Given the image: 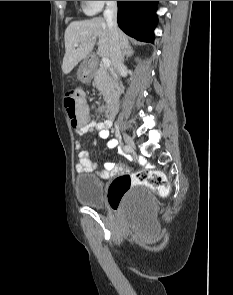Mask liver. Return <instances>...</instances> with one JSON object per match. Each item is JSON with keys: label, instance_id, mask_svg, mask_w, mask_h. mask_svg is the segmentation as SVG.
Segmentation results:
<instances>
[{"label": "liver", "instance_id": "6515ba94", "mask_svg": "<svg viewBox=\"0 0 233 295\" xmlns=\"http://www.w3.org/2000/svg\"><path fill=\"white\" fill-rule=\"evenodd\" d=\"M98 38V55L111 58L110 31L105 19L96 17L91 20L71 22L65 30V55L62 71L69 74L73 68L85 59L93 50ZM120 48L126 50L129 45L128 36L118 29ZM78 44L79 47H75Z\"/></svg>", "mask_w": 233, "mask_h": 295}]
</instances>
